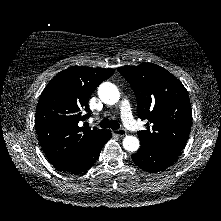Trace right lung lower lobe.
<instances>
[{
  "mask_svg": "<svg viewBox=\"0 0 221 221\" xmlns=\"http://www.w3.org/2000/svg\"><path fill=\"white\" fill-rule=\"evenodd\" d=\"M111 131L106 130L79 158L68 165L63 172L80 174L88 170L97 160L104 144L110 139Z\"/></svg>",
  "mask_w": 221,
  "mask_h": 221,
  "instance_id": "obj_1",
  "label": "right lung lower lobe"
}]
</instances>
